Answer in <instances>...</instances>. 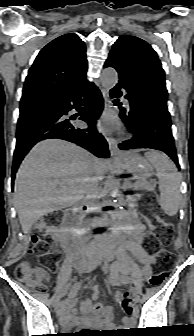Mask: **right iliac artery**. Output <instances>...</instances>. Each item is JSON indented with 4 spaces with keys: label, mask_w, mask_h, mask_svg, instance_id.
<instances>
[{
    "label": "right iliac artery",
    "mask_w": 194,
    "mask_h": 336,
    "mask_svg": "<svg viewBox=\"0 0 194 336\" xmlns=\"http://www.w3.org/2000/svg\"><path fill=\"white\" fill-rule=\"evenodd\" d=\"M70 287H71V284H68V285L65 287V290L70 289ZM72 294H73V291H71V292L69 293L68 297L70 298V297L72 296ZM63 302H64V301L60 302V303H59V306H62V305H63Z\"/></svg>",
    "instance_id": "obj_1"
}]
</instances>
